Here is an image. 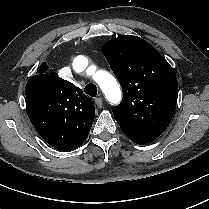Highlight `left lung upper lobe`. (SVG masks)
Wrapping results in <instances>:
<instances>
[{
	"mask_svg": "<svg viewBox=\"0 0 209 209\" xmlns=\"http://www.w3.org/2000/svg\"><path fill=\"white\" fill-rule=\"evenodd\" d=\"M119 80L123 99L113 107L122 132L144 145L160 136L173 117L178 97L173 68L148 42L137 36H120L102 48Z\"/></svg>",
	"mask_w": 209,
	"mask_h": 209,
	"instance_id": "left-lung-upper-lobe-1",
	"label": "left lung upper lobe"
}]
</instances>
